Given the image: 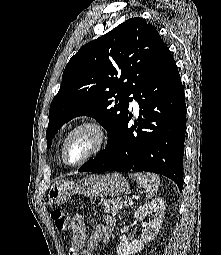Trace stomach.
Masks as SVG:
<instances>
[{"label": "stomach", "instance_id": "0dacf381", "mask_svg": "<svg viewBox=\"0 0 221 255\" xmlns=\"http://www.w3.org/2000/svg\"><path fill=\"white\" fill-rule=\"evenodd\" d=\"M128 189L127 180L119 173L93 174L77 182L60 180L53 183L48 191V199L51 204L61 205L74 194H81L95 200L104 196H120Z\"/></svg>", "mask_w": 221, "mask_h": 255}]
</instances>
